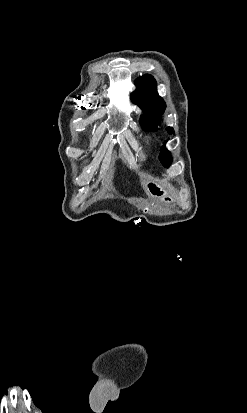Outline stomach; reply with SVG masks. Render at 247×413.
I'll list each match as a JSON object with an SVG mask.
<instances>
[{
  "label": "stomach",
  "mask_w": 247,
  "mask_h": 413,
  "mask_svg": "<svg viewBox=\"0 0 247 413\" xmlns=\"http://www.w3.org/2000/svg\"><path fill=\"white\" fill-rule=\"evenodd\" d=\"M144 188L150 196H153V198H158L160 202H168V204H171L173 202L174 198L172 194H170L169 190L163 186V184H159V182H155V180H148L146 184H144Z\"/></svg>",
  "instance_id": "obj_1"
}]
</instances>
